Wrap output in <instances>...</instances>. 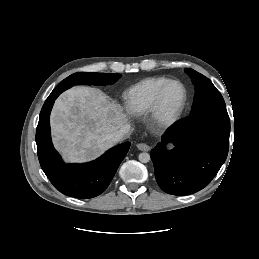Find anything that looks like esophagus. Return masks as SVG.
Here are the masks:
<instances>
[{"label": "esophagus", "mask_w": 259, "mask_h": 259, "mask_svg": "<svg viewBox=\"0 0 259 259\" xmlns=\"http://www.w3.org/2000/svg\"><path fill=\"white\" fill-rule=\"evenodd\" d=\"M136 146L141 151H149L150 150V147L145 143H138Z\"/></svg>", "instance_id": "1"}]
</instances>
